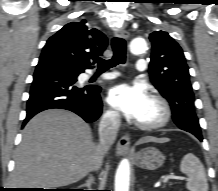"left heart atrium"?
Masks as SVG:
<instances>
[{
  "label": "left heart atrium",
  "instance_id": "1",
  "mask_svg": "<svg viewBox=\"0 0 218 191\" xmlns=\"http://www.w3.org/2000/svg\"><path fill=\"white\" fill-rule=\"evenodd\" d=\"M150 100L145 85L141 83L120 84L113 87L107 101L124 115L138 120Z\"/></svg>",
  "mask_w": 218,
  "mask_h": 191
}]
</instances>
